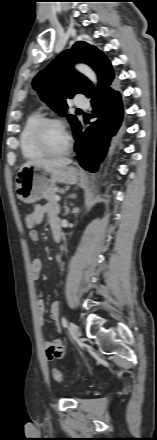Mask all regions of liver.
Returning a JSON list of instances; mask_svg holds the SVG:
<instances>
[{
    "mask_svg": "<svg viewBox=\"0 0 157 440\" xmlns=\"http://www.w3.org/2000/svg\"><path fill=\"white\" fill-rule=\"evenodd\" d=\"M70 163H72V160L69 158L37 159L26 162L22 165L21 169L32 165H37L49 170L54 168H61L69 165Z\"/></svg>",
    "mask_w": 157,
    "mask_h": 440,
    "instance_id": "6515ba94",
    "label": "liver"
}]
</instances>
